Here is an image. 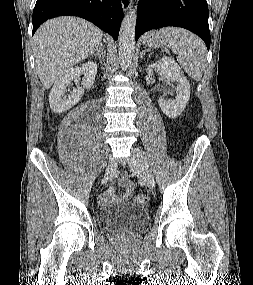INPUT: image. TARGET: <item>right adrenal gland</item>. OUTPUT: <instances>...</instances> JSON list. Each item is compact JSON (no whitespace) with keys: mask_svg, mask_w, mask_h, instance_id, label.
<instances>
[{"mask_svg":"<svg viewBox=\"0 0 253 285\" xmlns=\"http://www.w3.org/2000/svg\"><path fill=\"white\" fill-rule=\"evenodd\" d=\"M91 55L98 57L100 63H101L102 60L104 61L105 55H104V53H103V48H102L101 46H99V47L97 48L96 52H93Z\"/></svg>","mask_w":253,"mask_h":285,"instance_id":"obj_1","label":"right adrenal gland"}]
</instances>
